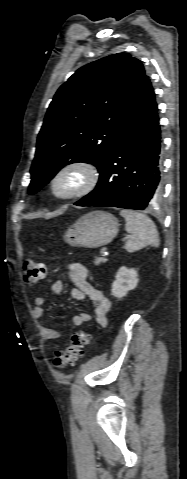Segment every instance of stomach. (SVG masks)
Segmentation results:
<instances>
[{
  "instance_id": "1",
  "label": "stomach",
  "mask_w": 187,
  "mask_h": 479,
  "mask_svg": "<svg viewBox=\"0 0 187 479\" xmlns=\"http://www.w3.org/2000/svg\"><path fill=\"white\" fill-rule=\"evenodd\" d=\"M117 218L104 211H93L79 218L64 234L72 246L96 248L110 243L117 235Z\"/></svg>"
}]
</instances>
